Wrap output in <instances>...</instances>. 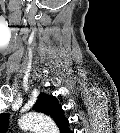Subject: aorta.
<instances>
[{"label": "aorta", "mask_w": 120, "mask_h": 133, "mask_svg": "<svg viewBox=\"0 0 120 133\" xmlns=\"http://www.w3.org/2000/svg\"><path fill=\"white\" fill-rule=\"evenodd\" d=\"M51 123L49 119L42 113H29L19 120L22 128L30 127L34 129H47V124Z\"/></svg>", "instance_id": "1"}]
</instances>
